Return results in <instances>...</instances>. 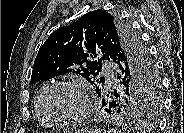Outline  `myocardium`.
Segmentation results:
<instances>
[{
  "mask_svg": "<svg viewBox=\"0 0 184 133\" xmlns=\"http://www.w3.org/2000/svg\"><path fill=\"white\" fill-rule=\"evenodd\" d=\"M58 87H70L75 89L80 94L81 109L75 116L68 119H55L50 115L47 109V99L50 93ZM40 107L45 119L48 121V123L52 125L71 126V125L78 124L82 122L91 112V104H90L88 88L82 82L75 81V80H61V81L54 82L51 85H49L47 89L44 91L43 96L41 98Z\"/></svg>",
  "mask_w": 184,
  "mask_h": 133,
  "instance_id": "obj_1",
  "label": "myocardium"
}]
</instances>
